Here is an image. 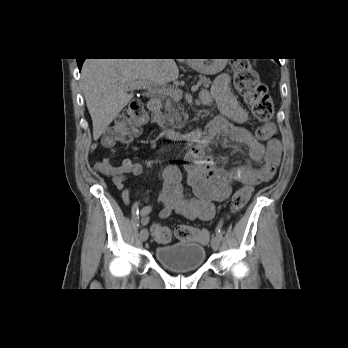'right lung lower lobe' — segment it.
Instances as JSON below:
<instances>
[{
  "label": "right lung lower lobe",
  "mask_w": 348,
  "mask_h": 348,
  "mask_svg": "<svg viewBox=\"0 0 348 348\" xmlns=\"http://www.w3.org/2000/svg\"><path fill=\"white\" fill-rule=\"evenodd\" d=\"M84 60L85 59H77L79 70H81Z\"/></svg>",
  "instance_id": "1"
}]
</instances>
